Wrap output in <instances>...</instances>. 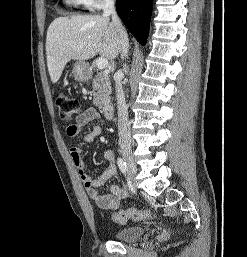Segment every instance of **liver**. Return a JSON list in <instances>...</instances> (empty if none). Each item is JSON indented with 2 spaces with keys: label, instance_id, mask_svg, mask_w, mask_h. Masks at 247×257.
<instances>
[{
  "label": "liver",
  "instance_id": "liver-1",
  "mask_svg": "<svg viewBox=\"0 0 247 257\" xmlns=\"http://www.w3.org/2000/svg\"><path fill=\"white\" fill-rule=\"evenodd\" d=\"M121 51L120 35L108 16L58 17L46 37V56L52 83H57L71 60L85 61L98 53L113 60Z\"/></svg>",
  "mask_w": 247,
  "mask_h": 257
}]
</instances>
